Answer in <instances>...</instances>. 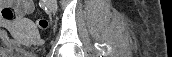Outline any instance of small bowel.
Returning <instances> with one entry per match:
<instances>
[{"instance_id":"obj_1","label":"small bowel","mask_w":172,"mask_h":57,"mask_svg":"<svg viewBox=\"0 0 172 57\" xmlns=\"http://www.w3.org/2000/svg\"><path fill=\"white\" fill-rule=\"evenodd\" d=\"M11 4H14L18 7L17 13L18 16H23L26 13H29L33 9V2L31 0H22V1H13ZM3 4L0 3V8ZM2 23L0 22V26ZM19 47V43L14 39L10 38L5 30L0 28V52H12Z\"/></svg>"}]
</instances>
